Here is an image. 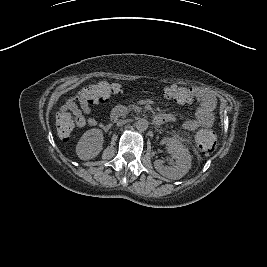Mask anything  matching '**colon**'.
Instances as JSON below:
<instances>
[{"label": "colon", "instance_id": "colon-1", "mask_svg": "<svg viewBox=\"0 0 267 267\" xmlns=\"http://www.w3.org/2000/svg\"><path fill=\"white\" fill-rule=\"evenodd\" d=\"M121 91L118 84L99 82L84 87L78 93V101L82 104L106 103L113 100ZM166 95L176 103L183 104L189 100V93L180 87L166 89ZM78 120L70 113H62L56 122V132L60 139H68ZM196 147L200 154L209 155L216 148V136L210 129L197 132Z\"/></svg>", "mask_w": 267, "mask_h": 267}]
</instances>
